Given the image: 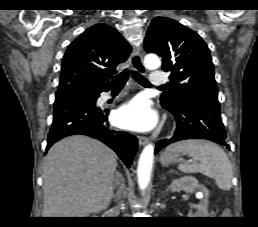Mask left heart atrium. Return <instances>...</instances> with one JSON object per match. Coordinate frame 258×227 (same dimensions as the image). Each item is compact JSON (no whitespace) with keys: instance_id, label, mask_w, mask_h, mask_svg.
Wrapping results in <instances>:
<instances>
[{"instance_id":"left-heart-atrium-1","label":"left heart atrium","mask_w":258,"mask_h":227,"mask_svg":"<svg viewBox=\"0 0 258 227\" xmlns=\"http://www.w3.org/2000/svg\"><path fill=\"white\" fill-rule=\"evenodd\" d=\"M114 119L116 124L122 128L147 131L155 126L157 114L147 99L137 97L120 107Z\"/></svg>"}]
</instances>
